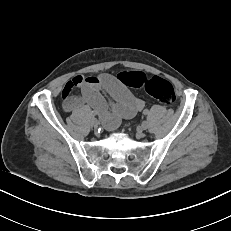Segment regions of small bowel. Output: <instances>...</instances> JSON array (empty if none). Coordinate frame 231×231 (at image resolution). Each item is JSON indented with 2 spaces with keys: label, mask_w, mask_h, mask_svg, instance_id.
Wrapping results in <instances>:
<instances>
[{
  "label": "small bowel",
  "mask_w": 231,
  "mask_h": 231,
  "mask_svg": "<svg viewBox=\"0 0 231 231\" xmlns=\"http://www.w3.org/2000/svg\"><path fill=\"white\" fill-rule=\"evenodd\" d=\"M75 88L81 95L72 94ZM61 97L68 112L87 105L100 117L107 129L118 127L122 119H130L140 112L145 102L135 97L116 77L110 74L95 76L76 75L65 83Z\"/></svg>",
  "instance_id": "obj_1"
}]
</instances>
